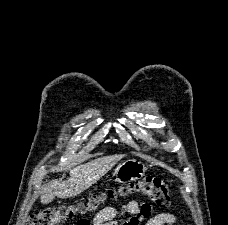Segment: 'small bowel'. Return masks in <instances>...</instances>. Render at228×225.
<instances>
[{
	"label": "small bowel",
	"instance_id": "c3829d8e",
	"mask_svg": "<svg viewBox=\"0 0 228 225\" xmlns=\"http://www.w3.org/2000/svg\"><path fill=\"white\" fill-rule=\"evenodd\" d=\"M151 204H138L131 200L123 206V212L135 215L138 213V218H130V222H119L116 219L118 211L113 207H107L100 211L92 220L91 225H139L142 223V218H148L145 225H176L177 218L173 213L162 212L151 216Z\"/></svg>",
	"mask_w": 228,
	"mask_h": 225
}]
</instances>
